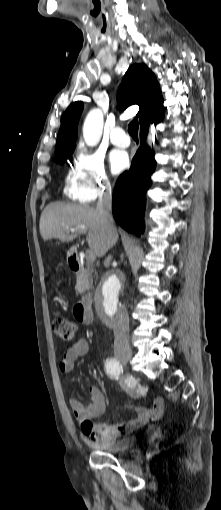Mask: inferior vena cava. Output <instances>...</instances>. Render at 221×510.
<instances>
[{
    "label": "inferior vena cava",
    "mask_w": 221,
    "mask_h": 510,
    "mask_svg": "<svg viewBox=\"0 0 221 510\" xmlns=\"http://www.w3.org/2000/svg\"><path fill=\"white\" fill-rule=\"evenodd\" d=\"M111 202H112V190L111 186L107 185L104 191H101L99 194L96 210L101 216L102 223L108 233L112 234L116 232V228L114 226L113 217L110 213L111 211ZM112 256L109 255L105 260V265L108 266ZM129 317L126 308L122 309V312L119 313L115 325H114V351L115 352H129Z\"/></svg>",
    "instance_id": "inferior-vena-cava-1"
}]
</instances>
